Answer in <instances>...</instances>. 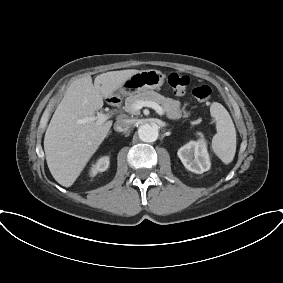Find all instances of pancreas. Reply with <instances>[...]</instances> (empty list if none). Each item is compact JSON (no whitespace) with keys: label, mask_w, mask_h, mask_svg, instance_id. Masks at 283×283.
I'll return each instance as SVG.
<instances>
[{"label":"pancreas","mask_w":283,"mask_h":283,"mask_svg":"<svg viewBox=\"0 0 283 283\" xmlns=\"http://www.w3.org/2000/svg\"><path fill=\"white\" fill-rule=\"evenodd\" d=\"M137 101H154L161 105L163 111L169 119H179L188 117L189 112L185 108H180V102L171 98H166L155 91L144 90L137 94H131L125 100L126 110L130 113L137 114V111H132L131 106Z\"/></svg>","instance_id":"1"}]
</instances>
